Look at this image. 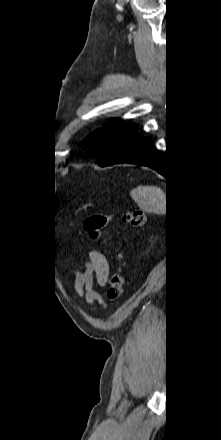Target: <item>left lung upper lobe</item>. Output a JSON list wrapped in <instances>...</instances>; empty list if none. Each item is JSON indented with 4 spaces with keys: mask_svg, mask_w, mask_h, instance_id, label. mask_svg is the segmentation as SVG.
<instances>
[{
    "mask_svg": "<svg viewBox=\"0 0 221 440\" xmlns=\"http://www.w3.org/2000/svg\"><path fill=\"white\" fill-rule=\"evenodd\" d=\"M136 129L133 124L111 119L107 125L80 142L79 146L95 155L99 166L112 165L124 155Z\"/></svg>",
    "mask_w": 221,
    "mask_h": 440,
    "instance_id": "left-lung-upper-lobe-1",
    "label": "left lung upper lobe"
}]
</instances>
